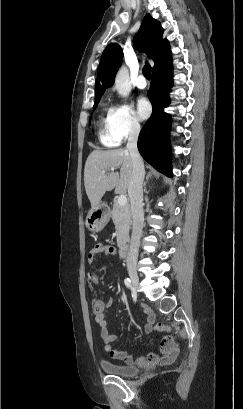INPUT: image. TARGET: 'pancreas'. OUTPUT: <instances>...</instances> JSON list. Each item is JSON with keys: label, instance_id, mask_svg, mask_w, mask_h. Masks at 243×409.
<instances>
[{"label": "pancreas", "instance_id": "cf45deb5", "mask_svg": "<svg viewBox=\"0 0 243 409\" xmlns=\"http://www.w3.org/2000/svg\"><path fill=\"white\" fill-rule=\"evenodd\" d=\"M111 216L115 224L118 244L127 242L131 225L129 205L126 204L125 206H120L118 202H114Z\"/></svg>", "mask_w": 243, "mask_h": 409}]
</instances>
